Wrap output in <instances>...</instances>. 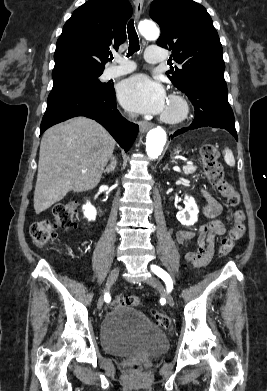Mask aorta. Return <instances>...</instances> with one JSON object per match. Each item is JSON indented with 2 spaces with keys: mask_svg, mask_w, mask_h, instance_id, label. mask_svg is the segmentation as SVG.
<instances>
[{
  "mask_svg": "<svg viewBox=\"0 0 267 391\" xmlns=\"http://www.w3.org/2000/svg\"><path fill=\"white\" fill-rule=\"evenodd\" d=\"M139 31L146 39L155 40L159 37L160 31L152 21H143L139 25ZM167 135L163 128L156 127L151 129L146 138V152L148 157H158L166 143Z\"/></svg>",
  "mask_w": 267,
  "mask_h": 391,
  "instance_id": "aorta-1",
  "label": "aorta"
}]
</instances>
